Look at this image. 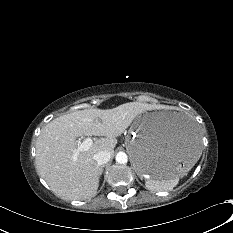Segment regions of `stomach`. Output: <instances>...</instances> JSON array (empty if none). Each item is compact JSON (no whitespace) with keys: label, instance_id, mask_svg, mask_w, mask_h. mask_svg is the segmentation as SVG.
Wrapping results in <instances>:
<instances>
[{"label":"stomach","instance_id":"1","mask_svg":"<svg viewBox=\"0 0 233 233\" xmlns=\"http://www.w3.org/2000/svg\"><path fill=\"white\" fill-rule=\"evenodd\" d=\"M126 147L136 173L152 179L183 174L201 154L194 122L175 111L139 114L126 136Z\"/></svg>","mask_w":233,"mask_h":233}]
</instances>
